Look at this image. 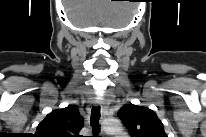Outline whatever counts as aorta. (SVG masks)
<instances>
[{
	"label": "aorta",
	"mask_w": 206,
	"mask_h": 137,
	"mask_svg": "<svg viewBox=\"0 0 206 137\" xmlns=\"http://www.w3.org/2000/svg\"><path fill=\"white\" fill-rule=\"evenodd\" d=\"M104 129L108 134H120L123 130L119 121L107 122Z\"/></svg>",
	"instance_id": "762f6f07"
}]
</instances>
